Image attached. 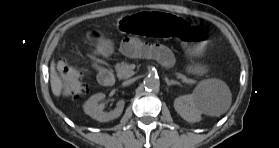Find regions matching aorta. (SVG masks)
I'll use <instances>...</instances> for the list:
<instances>
[{"label":"aorta","mask_w":279,"mask_h":148,"mask_svg":"<svg viewBox=\"0 0 279 148\" xmlns=\"http://www.w3.org/2000/svg\"><path fill=\"white\" fill-rule=\"evenodd\" d=\"M144 86L147 90L157 91L160 88V80L157 76L150 75L144 79Z\"/></svg>","instance_id":"762f6f07"}]
</instances>
